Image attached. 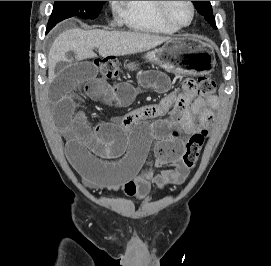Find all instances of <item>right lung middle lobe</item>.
Segmentation results:
<instances>
[{
    "label": "right lung middle lobe",
    "instance_id": "dd1d6c3e",
    "mask_svg": "<svg viewBox=\"0 0 271 266\" xmlns=\"http://www.w3.org/2000/svg\"><path fill=\"white\" fill-rule=\"evenodd\" d=\"M105 1H55L50 16L47 31L51 30L56 23L78 16L83 19H95L102 9Z\"/></svg>",
    "mask_w": 271,
    "mask_h": 266
}]
</instances>
